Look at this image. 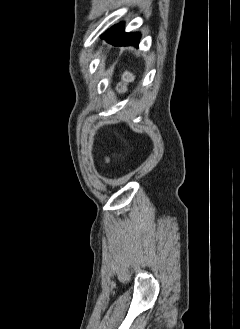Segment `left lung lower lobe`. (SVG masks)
Returning <instances> with one entry per match:
<instances>
[{
    "instance_id": "obj_1",
    "label": "left lung lower lobe",
    "mask_w": 240,
    "mask_h": 329,
    "mask_svg": "<svg viewBox=\"0 0 240 329\" xmlns=\"http://www.w3.org/2000/svg\"><path fill=\"white\" fill-rule=\"evenodd\" d=\"M140 37L139 33H125L124 23L113 26L101 36L102 39H105L107 42L115 46H137Z\"/></svg>"
}]
</instances>
